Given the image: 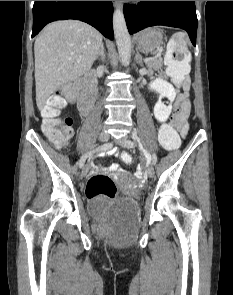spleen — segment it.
<instances>
[{
  "label": "spleen",
  "mask_w": 233,
  "mask_h": 295,
  "mask_svg": "<svg viewBox=\"0 0 233 295\" xmlns=\"http://www.w3.org/2000/svg\"><path fill=\"white\" fill-rule=\"evenodd\" d=\"M176 47H181L185 50V60L183 61V64H188L191 60V55L190 53H188L187 50V46H186V42L184 40V35L183 34H174L171 38V40L168 43L167 46V57H172V52L174 51V49ZM172 64H174L172 62Z\"/></svg>",
  "instance_id": "1"
}]
</instances>
